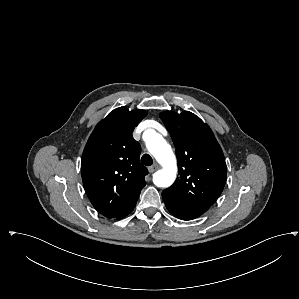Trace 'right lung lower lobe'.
Instances as JSON below:
<instances>
[{
    "label": "right lung lower lobe",
    "instance_id": "obj_1",
    "mask_svg": "<svg viewBox=\"0 0 299 299\" xmlns=\"http://www.w3.org/2000/svg\"><path fill=\"white\" fill-rule=\"evenodd\" d=\"M135 205H133L131 208H129L127 211H125L122 215H120L119 217H117V219H121V218L127 216L134 209Z\"/></svg>",
    "mask_w": 299,
    "mask_h": 299
}]
</instances>
